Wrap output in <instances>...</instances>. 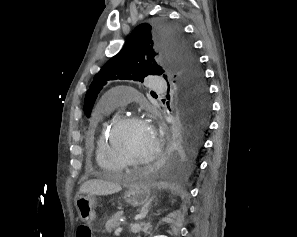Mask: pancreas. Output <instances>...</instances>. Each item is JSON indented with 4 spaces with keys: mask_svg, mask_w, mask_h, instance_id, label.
<instances>
[{
    "mask_svg": "<svg viewBox=\"0 0 297 237\" xmlns=\"http://www.w3.org/2000/svg\"><path fill=\"white\" fill-rule=\"evenodd\" d=\"M122 215H123V212H117L110 219H108L105 225V231L110 233L114 229L119 227L121 224L120 219L122 218Z\"/></svg>",
    "mask_w": 297,
    "mask_h": 237,
    "instance_id": "pancreas-1",
    "label": "pancreas"
}]
</instances>
